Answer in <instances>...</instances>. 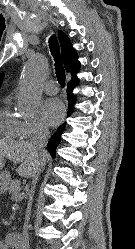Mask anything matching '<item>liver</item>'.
<instances>
[{"label":"liver","mask_w":135,"mask_h":249,"mask_svg":"<svg viewBox=\"0 0 135 249\" xmlns=\"http://www.w3.org/2000/svg\"><path fill=\"white\" fill-rule=\"evenodd\" d=\"M0 157L8 158L14 163H20L17 173L25 178H31L34 170L41 163H45L50 157L46 152L44 155H36L30 142H8L0 140Z\"/></svg>","instance_id":"liver-1"}]
</instances>
